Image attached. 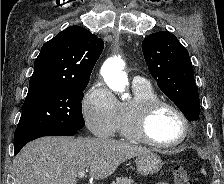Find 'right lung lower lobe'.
I'll use <instances>...</instances> for the list:
<instances>
[{"mask_svg":"<svg viewBox=\"0 0 224 184\" xmlns=\"http://www.w3.org/2000/svg\"><path fill=\"white\" fill-rule=\"evenodd\" d=\"M77 133H78V131L52 129V130L40 131V132H35L32 134H29L27 136H24L18 143H14V155H16L26 143H28L34 139H37L39 137H42V136H72Z\"/></svg>","mask_w":224,"mask_h":184,"instance_id":"obj_1","label":"right lung lower lobe"}]
</instances>
